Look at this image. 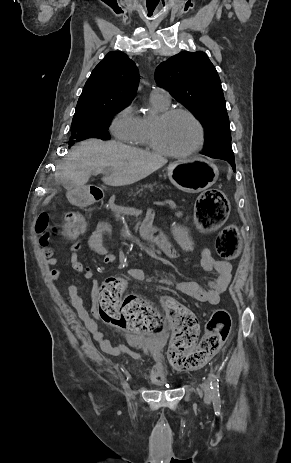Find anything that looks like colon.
<instances>
[{
	"instance_id": "obj_1",
	"label": "colon",
	"mask_w": 291,
	"mask_h": 463,
	"mask_svg": "<svg viewBox=\"0 0 291 463\" xmlns=\"http://www.w3.org/2000/svg\"><path fill=\"white\" fill-rule=\"evenodd\" d=\"M230 209L228 198L218 188L202 193L195 204V217L201 230L210 231L219 227L227 218ZM174 219L190 223L186 208L176 206L172 210ZM85 230L80 214L71 212L62 224L50 225L47 213L39 215L36 232L41 236L63 232L71 239ZM218 255L224 260H233L239 251V238L234 226L221 230L216 240ZM127 283L122 277H110L96 292L100 318L112 325L130 332L150 335L162 330L161 315L146 300L138 296H124ZM163 309L171 320L173 336L167 352L168 361L177 370H192L203 366L220 349L231 330L230 314L223 309L213 313L208 320L204 334L198 343L199 324L194 313L179 303L164 298Z\"/></svg>"
}]
</instances>
